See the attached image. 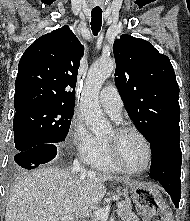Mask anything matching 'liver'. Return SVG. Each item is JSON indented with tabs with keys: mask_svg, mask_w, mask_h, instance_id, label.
<instances>
[{
	"mask_svg": "<svg viewBox=\"0 0 190 221\" xmlns=\"http://www.w3.org/2000/svg\"><path fill=\"white\" fill-rule=\"evenodd\" d=\"M107 180H128L105 174L81 175L69 169L38 168L26 171L11 188L5 221H69L88 217L106 193Z\"/></svg>",
	"mask_w": 190,
	"mask_h": 221,
	"instance_id": "6515ba94",
	"label": "liver"
}]
</instances>
